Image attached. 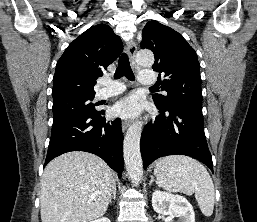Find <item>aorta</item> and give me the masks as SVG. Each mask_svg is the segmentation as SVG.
I'll use <instances>...</instances> for the list:
<instances>
[{"label": "aorta", "instance_id": "762f6f07", "mask_svg": "<svg viewBox=\"0 0 257 222\" xmlns=\"http://www.w3.org/2000/svg\"><path fill=\"white\" fill-rule=\"evenodd\" d=\"M136 61L140 66L150 67L154 63V55L149 50H141L136 55ZM142 122L131 125L125 135L123 143L124 161L127 173L131 181L138 185L143 177V163L140 153V138Z\"/></svg>", "mask_w": 257, "mask_h": 222}]
</instances>
